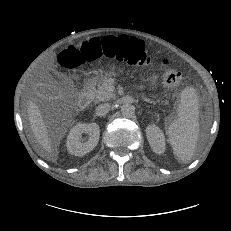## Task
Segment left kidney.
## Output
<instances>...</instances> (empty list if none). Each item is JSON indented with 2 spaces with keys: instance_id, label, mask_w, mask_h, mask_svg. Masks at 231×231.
I'll list each match as a JSON object with an SVG mask.
<instances>
[{
  "instance_id": "obj_1",
  "label": "left kidney",
  "mask_w": 231,
  "mask_h": 231,
  "mask_svg": "<svg viewBox=\"0 0 231 231\" xmlns=\"http://www.w3.org/2000/svg\"><path fill=\"white\" fill-rule=\"evenodd\" d=\"M146 136L151 149L156 154H162L165 151V137L161 129L152 124L148 125L146 128Z\"/></svg>"
}]
</instances>
